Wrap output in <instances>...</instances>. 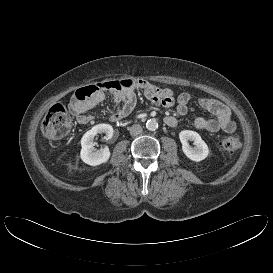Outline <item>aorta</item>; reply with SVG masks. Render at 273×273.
I'll return each mask as SVG.
<instances>
[{"mask_svg":"<svg viewBox=\"0 0 273 273\" xmlns=\"http://www.w3.org/2000/svg\"><path fill=\"white\" fill-rule=\"evenodd\" d=\"M146 128L150 131H154L158 128V123L155 119H150L146 122Z\"/></svg>","mask_w":273,"mask_h":273,"instance_id":"762f6f07","label":"aorta"}]
</instances>
